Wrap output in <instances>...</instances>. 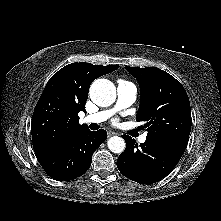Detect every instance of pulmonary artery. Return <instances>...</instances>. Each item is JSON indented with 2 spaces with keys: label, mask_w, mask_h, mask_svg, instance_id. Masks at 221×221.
Masks as SVG:
<instances>
[{
  "label": "pulmonary artery",
  "mask_w": 221,
  "mask_h": 221,
  "mask_svg": "<svg viewBox=\"0 0 221 221\" xmlns=\"http://www.w3.org/2000/svg\"><path fill=\"white\" fill-rule=\"evenodd\" d=\"M137 96V88L134 84L125 81L118 80L117 82V102L115 108L111 110H103L94 114L87 115L83 121L85 123H102L106 121L115 111L130 106L134 103ZM146 141V135L143 134L139 137V142L144 143Z\"/></svg>",
  "instance_id": "1"
}]
</instances>
